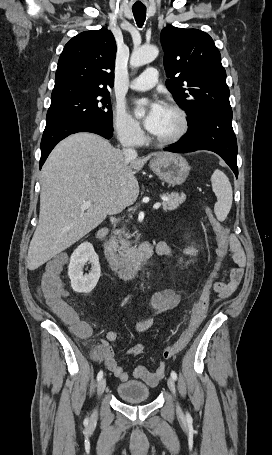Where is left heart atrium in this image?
<instances>
[{"instance_id": "39dd6f15", "label": "left heart atrium", "mask_w": 272, "mask_h": 455, "mask_svg": "<svg viewBox=\"0 0 272 455\" xmlns=\"http://www.w3.org/2000/svg\"><path fill=\"white\" fill-rule=\"evenodd\" d=\"M138 104L146 105L147 113L143 124L149 132L154 133L159 126L165 106L158 100L140 101Z\"/></svg>"}]
</instances>
